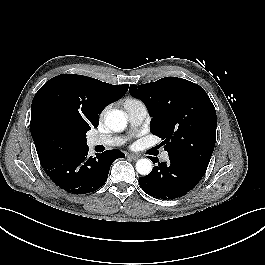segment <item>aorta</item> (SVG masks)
Wrapping results in <instances>:
<instances>
[{
  "instance_id": "1",
  "label": "aorta",
  "mask_w": 265,
  "mask_h": 265,
  "mask_svg": "<svg viewBox=\"0 0 265 265\" xmlns=\"http://www.w3.org/2000/svg\"><path fill=\"white\" fill-rule=\"evenodd\" d=\"M106 126L114 132H120L127 126V116L120 110H112L105 116ZM136 170L141 175H148L152 171V162L147 159H140L136 163Z\"/></svg>"
}]
</instances>
